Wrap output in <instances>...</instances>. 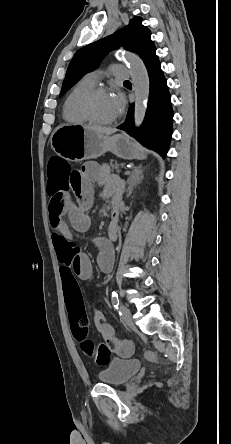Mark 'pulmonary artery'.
<instances>
[{
	"instance_id": "1",
	"label": "pulmonary artery",
	"mask_w": 231,
	"mask_h": 444,
	"mask_svg": "<svg viewBox=\"0 0 231 444\" xmlns=\"http://www.w3.org/2000/svg\"><path fill=\"white\" fill-rule=\"evenodd\" d=\"M112 75L118 80H127L130 77L131 70L124 66H113ZM101 72L93 71L86 75V79L92 83H96L100 78Z\"/></svg>"
}]
</instances>
